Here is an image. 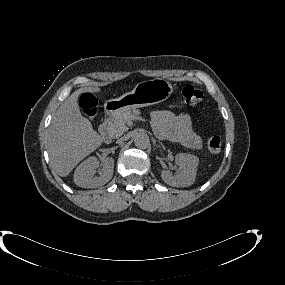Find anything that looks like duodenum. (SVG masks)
<instances>
[{
    "label": "duodenum",
    "instance_id": "1",
    "mask_svg": "<svg viewBox=\"0 0 285 285\" xmlns=\"http://www.w3.org/2000/svg\"><path fill=\"white\" fill-rule=\"evenodd\" d=\"M109 116L106 115L104 119L101 121L99 126V133L100 137L104 142H109L111 136L109 133V122H108Z\"/></svg>",
    "mask_w": 285,
    "mask_h": 285
}]
</instances>
